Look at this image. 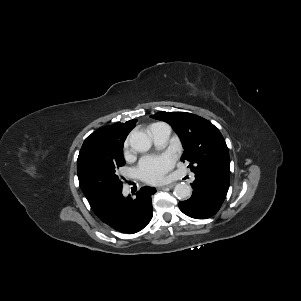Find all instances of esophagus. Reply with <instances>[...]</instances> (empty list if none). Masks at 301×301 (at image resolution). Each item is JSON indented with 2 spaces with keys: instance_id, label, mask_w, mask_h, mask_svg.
I'll use <instances>...</instances> for the list:
<instances>
[{
  "instance_id": "34e87169",
  "label": "esophagus",
  "mask_w": 301,
  "mask_h": 301,
  "mask_svg": "<svg viewBox=\"0 0 301 301\" xmlns=\"http://www.w3.org/2000/svg\"><path fill=\"white\" fill-rule=\"evenodd\" d=\"M175 186V184L174 183H170V184H167V185H162V186H160L159 187V189H171V188H173Z\"/></svg>"
}]
</instances>
